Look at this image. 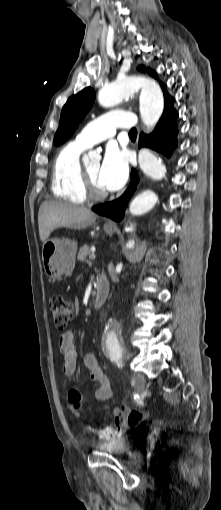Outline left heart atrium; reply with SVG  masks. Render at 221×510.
<instances>
[{
	"mask_svg": "<svg viewBox=\"0 0 221 510\" xmlns=\"http://www.w3.org/2000/svg\"><path fill=\"white\" fill-rule=\"evenodd\" d=\"M128 159L126 153L114 144L107 146L99 170V183L105 191L120 189L128 177Z\"/></svg>",
	"mask_w": 221,
	"mask_h": 510,
	"instance_id": "obj_1",
	"label": "left heart atrium"
}]
</instances>
